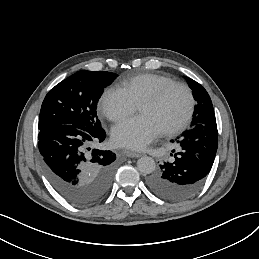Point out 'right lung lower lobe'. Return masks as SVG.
<instances>
[{
  "mask_svg": "<svg viewBox=\"0 0 259 259\" xmlns=\"http://www.w3.org/2000/svg\"><path fill=\"white\" fill-rule=\"evenodd\" d=\"M105 138L102 127L84 131L73 125H56L39 132L38 147L45 162V174L69 203L81 207L93 205L109 191L116 154L97 148Z\"/></svg>",
  "mask_w": 259,
  "mask_h": 259,
  "instance_id": "1",
  "label": "right lung lower lobe"
}]
</instances>
